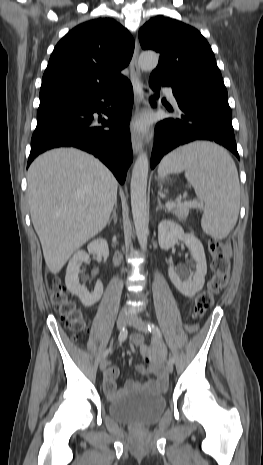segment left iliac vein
<instances>
[{"label":"left iliac vein","mask_w":263,"mask_h":465,"mask_svg":"<svg viewBox=\"0 0 263 465\" xmlns=\"http://www.w3.org/2000/svg\"><path fill=\"white\" fill-rule=\"evenodd\" d=\"M128 323L133 326L134 328H136L137 330L139 331H142L144 333L148 332V326L147 324L138 316L136 315H131L129 318H128ZM166 370L169 372V373H172L173 372V363H171L170 361L167 362L166 364Z\"/></svg>","instance_id":"1"}]
</instances>
